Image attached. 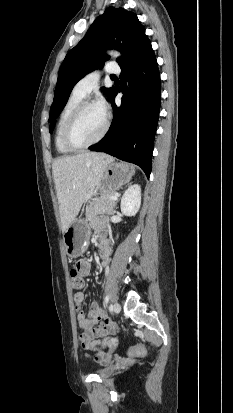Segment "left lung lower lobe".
<instances>
[{
    "mask_svg": "<svg viewBox=\"0 0 233 413\" xmlns=\"http://www.w3.org/2000/svg\"><path fill=\"white\" fill-rule=\"evenodd\" d=\"M119 65L122 104H114L118 94L114 88L110 96L112 124L106 136L90 150L137 164L149 178L161 94L158 64L150 40L146 37Z\"/></svg>",
    "mask_w": 233,
    "mask_h": 413,
    "instance_id": "1",
    "label": "left lung lower lobe"
}]
</instances>
